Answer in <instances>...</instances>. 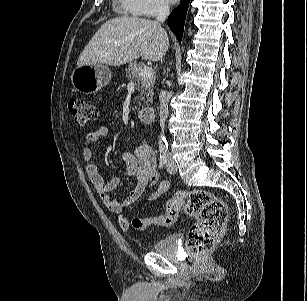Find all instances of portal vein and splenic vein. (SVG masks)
I'll use <instances>...</instances> for the list:
<instances>
[{
	"label": "portal vein and splenic vein",
	"instance_id": "1",
	"mask_svg": "<svg viewBox=\"0 0 307 301\" xmlns=\"http://www.w3.org/2000/svg\"><path fill=\"white\" fill-rule=\"evenodd\" d=\"M154 74V70L152 67H144L139 71V75L145 78H150Z\"/></svg>",
	"mask_w": 307,
	"mask_h": 301
}]
</instances>
